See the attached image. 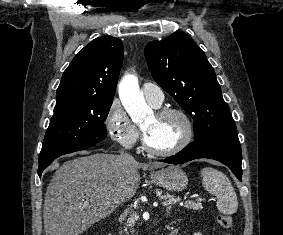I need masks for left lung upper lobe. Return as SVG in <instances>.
I'll use <instances>...</instances> for the list:
<instances>
[{
    "label": "left lung upper lobe",
    "instance_id": "left-lung-upper-lobe-1",
    "mask_svg": "<svg viewBox=\"0 0 283 235\" xmlns=\"http://www.w3.org/2000/svg\"><path fill=\"white\" fill-rule=\"evenodd\" d=\"M154 80L194 120V140L236 133L213 67L184 32H175L145 47Z\"/></svg>",
    "mask_w": 283,
    "mask_h": 235
}]
</instances>
